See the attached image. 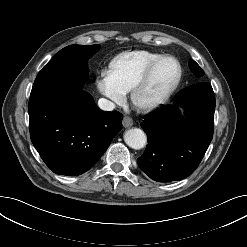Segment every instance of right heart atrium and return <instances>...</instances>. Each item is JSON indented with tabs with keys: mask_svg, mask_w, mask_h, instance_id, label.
Here are the masks:
<instances>
[{
	"mask_svg": "<svg viewBox=\"0 0 247 247\" xmlns=\"http://www.w3.org/2000/svg\"><path fill=\"white\" fill-rule=\"evenodd\" d=\"M98 91L113 103L125 100V92L114 82L110 71L101 70L96 81Z\"/></svg>",
	"mask_w": 247,
	"mask_h": 247,
	"instance_id": "1",
	"label": "right heart atrium"
}]
</instances>
